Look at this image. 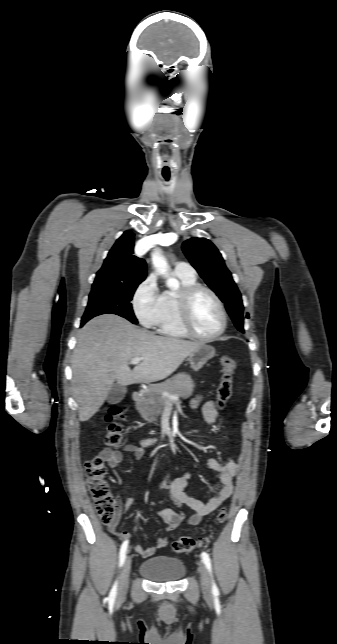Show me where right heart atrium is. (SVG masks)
Returning <instances> with one entry per match:
<instances>
[{
    "label": "right heart atrium",
    "mask_w": 337,
    "mask_h": 644,
    "mask_svg": "<svg viewBox=\"0 0 337 644\" xmlns=\"http://www.w3.org/2000/svg\"><path fill=\"white\" fill-rule=\"evenodd\" d=\"M133 308L139 322L145 327L156 324L161 308V294L155 277L146 278L136 289Z\"/></svg>",
    "instance_id": "1"
}]
</instances>
